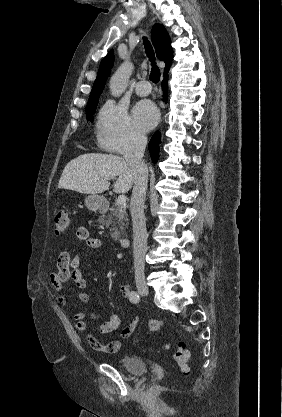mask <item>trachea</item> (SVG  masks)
<instances>
[{
  "instance_id": "obj_1",
  "label": "trachea",
  "mask_w": 282,
  "mask_h": 417,
  "mask_svg": "<svg viewBox=\"0 0 282 417\" xmlns=\"http://www.w3.org/2000/svg\"><path fill=\"white\" fill-rule=\"evenodd\" d=\"M144 45H145V48H146L147 56L149 57V60L152 63V70H151V73H150V80L153 83H158L160 81V70L157 67V65L155 64V56H154L153 49H152L149 41L146 40L145 37H144Z\"/></svg>"
}]
</instances>
